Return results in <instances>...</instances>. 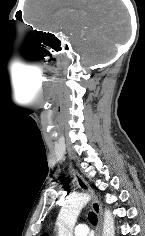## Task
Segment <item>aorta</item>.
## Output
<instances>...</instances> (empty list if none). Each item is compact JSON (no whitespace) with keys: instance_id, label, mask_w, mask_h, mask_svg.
<instances>
[{"instance_id":"aorta-1","label":"aorta","mask_w":145,"mask_h":236,"mask_svg":"<svg viewBox=\"0 0 145 236\" xmlns=\"http://www.w3.org/2000/svg\"><path fill=\"white\" fill-rule=\"evenodd\" d=\"M89 200L90 196L87 194H78L67 200L57 218L58 236H73L77 217ZM102 236H115L114 219L109 209L104 212Z\"/></svg>"}]
</instances>
